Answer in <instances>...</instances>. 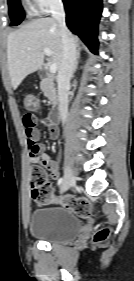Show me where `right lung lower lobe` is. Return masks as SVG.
Segmentation results:
<instances>
[{
  "instance_id": "right-lung-lower-lobe-1",
  "label": "right lung lower lobe",
  "mask_w": 134,
  "mask_h": 281,
  "mask_svg": "<svg viewBox=\"0 0 134 281\" xmlns=\"http://www.w3.org/2000/svg\"><path fill=\"white\" fill-rule=\"evenodd\" d=\"M68 28L97 53L98 22L102 13V0H63Z\"/></svg>"
}]
</instances>
